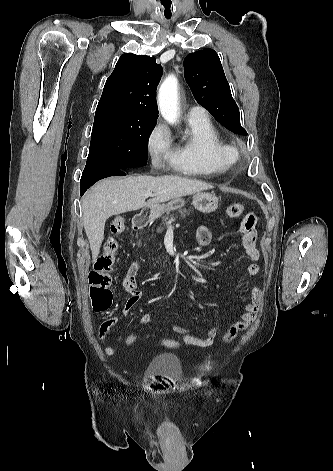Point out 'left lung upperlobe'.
I'll use <instances>...</instances> for the list:
<instances>
[{
    "instance_id": "left-lung-upper-lobe-1",
    "label": "left lung upper lobe",
    "mask_w": 333,
    "mask_h": 471,
    "mask_svg": "<svg viewBox=\"0 0 333 471\" xmlns=\"http://www.w3.org/2000/svg\"><path fill=\"white\" fill-rule=\"evenodd\" d=\"M184 68L185 79L196 101L227 129L247 135L240 125L239 109L218 54L213 49L191 53L185 58Z\"/></svg>"
}]
</instances>
